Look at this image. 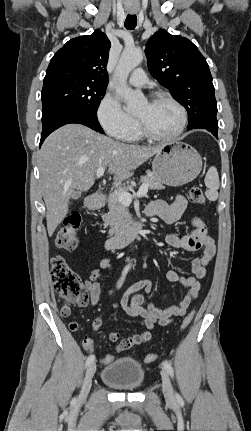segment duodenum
<instances>
[{"instance_id": "1", "label": "duodenum", "mask_w": 251, "mask_h": 431, "mask_svg": "<svg viewBox=\"0 0 251 431\" xmlns=\"http://www.w3.org/2000/svg\"><path fill=\"white\" fill-rule=\"evenodd\" d=\"M102 203L103 199L100 195H92L88 198L87 206L91 210H96L102 205ZM145 215L149 216L146 211ZM143 226L144 223L142 221H135L132 224L124 227L123 229L116 232L114 235L107 239L105 243L106 249L112 250L125 247L138 236Z\"/></svg>"}]
</instances>
